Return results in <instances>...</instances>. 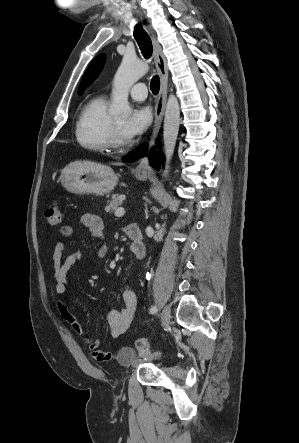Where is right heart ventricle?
<instances>
[{"label": "right heart ventricle", "mask_w": 299, "mask_h": 443, "mask_svg": "<svg viewBox=\"0 0 299 443\" xmlns=\"http://www.w3.org/2000/svg\"><path fill=\"white\" fill-rule=\"evenodd\" d=\"M112 118L104 97L91 99L81 110L76 122V140L81 147L92 152L109 151Z\"/></svg>", "instance_id": "1"}]
</instances>
